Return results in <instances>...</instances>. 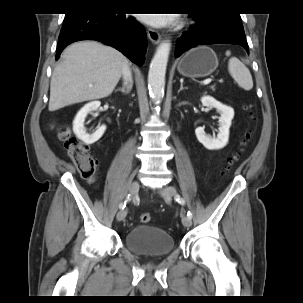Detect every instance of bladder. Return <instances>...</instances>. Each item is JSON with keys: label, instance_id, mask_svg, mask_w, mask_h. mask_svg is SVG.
I'll return each instance as SVG.
<instances>
[{"label": "bladder", "instance_id": "bladder-1", "mask_svg": "<svg viewBox=\"0 0 303 303\" xmlns=\"http://www.w3.org/2000/svg\"><path fill=\"white\" fill-rule=\"evenodd\" d=\"M125 247L142 257H161L175 249L174 238L152 225H136L125 235Z\"/></svg>", "mask_w": 303, "mask_h": 303}]
</instances>
